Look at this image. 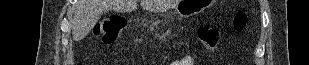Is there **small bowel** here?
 Masks as SVG:
<instances>
[{
	"label": "small bowel",
	"instance_id": "1",
	"mask_svg": "<svg viewBox=\"0 0 309 65\" xmlns=\"http://www.w3.org/2000/svg\"><path fill=\"white\" fill-rule=\"evenodd\" d=\"M186 58V56L185 57H183V58H181L180 60H178V61H175V62H173L171 65H193V64H186V63H184V59Z\"/></svg>",
	"mask_w": 309,
	"mask_h": 65
}]
</instances>
